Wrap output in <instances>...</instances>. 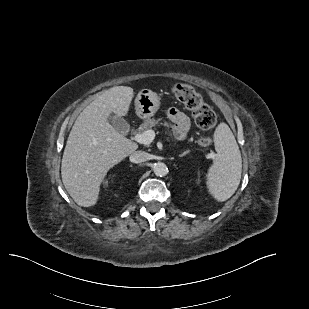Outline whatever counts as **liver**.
<instances>
[{"mask_svg":"<svg viewBox=\"0 0 309 309\" xmlns=\"http://www.w3.org/2000/svg\"><path fill=\"white\" fill-rule=\"evenodd\" d=\"M133 96V89L127 86L104 91L80 113L70 131L61 176L79 206H94L107 172L138 148L108 122L112 113L127 115Z\"/></svg>","mask_w":309,"mask_h":309,"instance_id":"liver-1","label":"liver"}]
</instances>
